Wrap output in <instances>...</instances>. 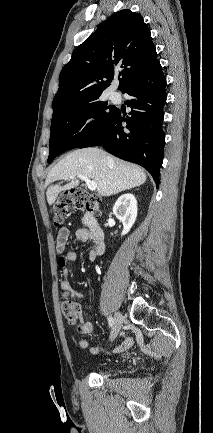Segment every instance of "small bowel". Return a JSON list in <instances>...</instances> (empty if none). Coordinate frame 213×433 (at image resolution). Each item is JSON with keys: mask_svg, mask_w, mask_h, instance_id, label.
Wrapping results in <instances>:
<instances>
[{"mask_svg": "<svg viewBox=\"0 0 213 433\" xmlns=\"http://www.w3.org/2000/svg\"><path fill=\"white\" fill-rule=\"evenodd\" d=\"M70 231L67 227H62L56 236L55 240V248L58 254H62V260L64 264H60L61 266V280L60 287L64 291H71V286L68 282V269L65 266V263L75 262L77 259V254L75 251H69L65 253L66 245L69 239ZM76 239L81 243L92 242L93 248L89 251V259L90 261H94L96 257L100 256L104 252V243H98L94 240L92 233L89 228L81 227L75 231ZM80 297L79 294H77ZM94 331V326L90 321H83L79 326V332L81 334H91ZM133 343V339L131 337H127L119 346L114 349V352H122L128 349ZM78 346L81 349L88 348V342L84 339H80L78 341ZM92 353H97L99 348L93 347L90 349Z\"/></svg>", "mask_w": 213, "mask_h": 433, "instance_id": "small-bowel-1", "label": "small bowel"}]
</instances>
